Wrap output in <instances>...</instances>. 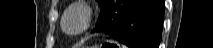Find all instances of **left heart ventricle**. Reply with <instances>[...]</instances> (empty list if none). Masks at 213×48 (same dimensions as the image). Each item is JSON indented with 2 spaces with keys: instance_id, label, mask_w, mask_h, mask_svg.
Returning <instances> with one entry per match:
<instances>
[{
  "instance_id": "b2bd125f",
  "label": "left heart ventricle",
  "mask_w": 213,
  "mask_h": 48,
  "mask_svg": "<svg viewBox=\"0 0 213 48\" xmlns=\"http://www.w3.org/2000/svg\"><path fill=\"white\" fill-rule=\"evenodd\" d=\"M83 26V15L80 11H72L65 20V27L69 32L78 31Z\"/></svg>"
}]
</instances>
